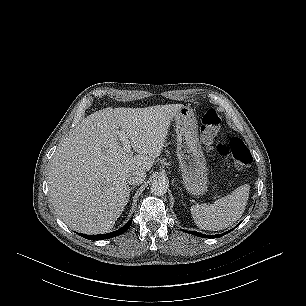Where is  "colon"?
<instances>
[{"instance_id": "5ec220e1", "label": "colon", "mask_w": 306, "mask_h": 306, "mask_svg": "<svg viewBox=\"0 0 306 306\" xmlns=\"http://www.w3.org/2000/svg\"><path fill=\"white\" fill-rule=\"evenodd\" d=\"M222 125L219 113L208 109L202 117L201 140L210 153L223 160H234L239 167H246L252 162V155L244 141L233 137L227 145L214 146L215 137Z\"/></svg>"}]
</instances>
